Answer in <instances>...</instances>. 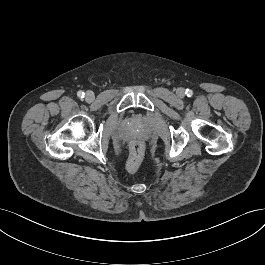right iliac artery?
<instances>
[{
  "mask_svg": "<svg viewBox=\"0 0 265 265\" xmlns=\"http://www.w3.org/2000/svg\"><path fill=\"white\" fill-rule=\"evenodd\" d=\"M84 92H82V91H78V93H77V96L79 97V98H84Z\"/></svg>",
  "mask_w": 265,
  "mask_h": 265,
  "instance_id": "82829eb1",
  "label": "right iliac artery"
}]
</instances>
